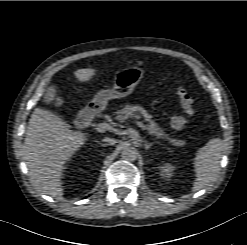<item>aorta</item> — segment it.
Returning a JSON list of instances; mask_svg holds the SVG:
<instances>
[{"mask_svg":"<svg viewBox=\"0 0 247 245\" xmlns=\"http://www.w3.org/2000/svg\"><path fill=\"white\" fill-rule=\"evenodd\" d=\"M138 152L135 147L130 145H125L122 148L121 156L126 161L136 160Z\"/></svg>","mask_w":247,"mask_h":245,"instance_id":"obj_1","label":"aorta"}]
</instances>
